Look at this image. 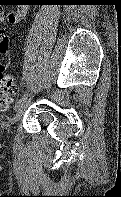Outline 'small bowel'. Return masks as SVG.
Here are the masks:
<instances>
[{
    "label": "small bowel",
    "instance_id": "c3829d8e",
    "mask_svg": "<svg viewBox=\"0 0 121 197\" xmlns=\"http://www.w3.org/2000/svg\"><path fill=\"white\" fill-rule=\"evenodd\" d=\"M28 13V7L25 5H19L17 10L6 12L0 7V23L8 21L11 24L20 22ZM0 54L6 55L9 41L4 32L0 30Z\"/></svg>",
    "mask_w": 121,
    "mask_h": 197
}]
</instances>
